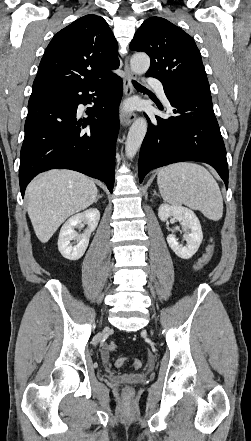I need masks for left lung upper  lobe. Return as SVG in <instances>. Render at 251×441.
<instances>
[{
	"label": "left lung upper lobe",
	"instance_id": "1",
	"mask_svg": "<svg viewBox=\"0 0 251 441\" xmlns=\"http://www.w3.org/2000/svg\"><path fill=\"white\" fill-rule=\"evenodd\" d=\"M130 49L149 55L151 64L146 76L178 86L181 93L188 89L210 93L194 39L168 20L160 17L145 20L135 33Z\"/></svg>",
	"mask_w": 251,
	"mask_h": 441
}]
</instances>
